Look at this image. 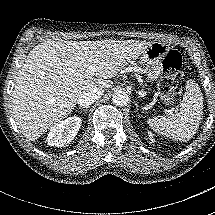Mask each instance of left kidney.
Masks as SVG:
<instances>
[{
  "instance_id": "left-kidney-1",
  "label": "left kidney",
  "mask_w": 215,
  "mask_h": 215,
  "mask_svg": "<svg viewBox=\"0 0 215 215\" xmlns=\"http://www.w3.org/2000/svg\"><path fill=\"white\" fill-rule=\"evenodd\" d=\"M147 133H148V136H149L150 143L151 144L155 143L154 134L151 131H148Z\"/></svg>"
}]
</instances>
